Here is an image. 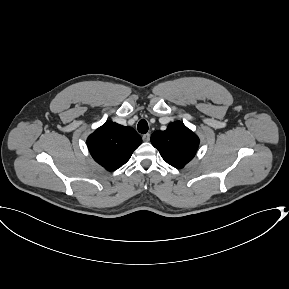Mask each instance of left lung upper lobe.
I'll return each mask as SVG.
<instances>
[{
    "label": "left lung upper lobe",
    "mask_w": 289,
    "mask_h": 289,
    "mask_svg": "<svg viewBox=\"0 0 289 289\" xmlns=\"http://www.w3.org/2000/svg\"><path fill=\"white\" fill-rule=\"evenodd\" d=\"M151 143L168 164L183 168L195 156L199 138L182 122L175 121L165 131H155Z\"/></svg>",
    "instance_id": "left-lung-upper-lobe-1"
}]
</instances>
